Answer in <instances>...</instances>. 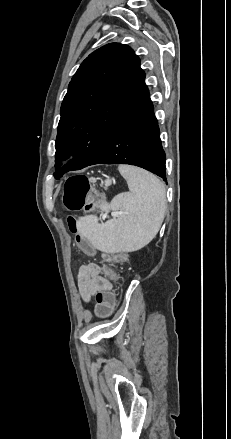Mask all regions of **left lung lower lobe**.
I'll list each match as a JSON object with an SVG mask.
<instances>
[{
  "instance_id": "1",
  "label": "left lung lower lobe",
  "mask_w": 231,
  "mask_h": 439,
  "mask_svg": "<svg viewBox=\"0 0 231 439\" xmlns=\"http://www.w3.org/2000/svg\"><path fill=\"white\" fill-rule=\"evenodd\" d=\"M95 164L135 165L157 174L166 181L165 153L146 85L87 166Z\"/></svg>"
}]
</instances>
